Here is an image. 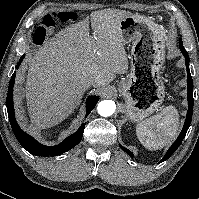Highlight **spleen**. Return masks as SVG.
I'll return each mask as SVG.
<instances>
[{
    "label": "spleen",
    "mask_w": 199,
    "mask_h": 199,
    "mask_svg": "<svg viewBox=\"0 0 199 199\" xmlns=\"http://www.w3.org/2000/svg\"><path fill=\"white\" fill-rule=\"evenodd\" d=\"M178 128V111L173 106H167L159 114L137 124L136 133L145 148L158 150L175 139Z\"/></svg>",
    "instance_id": "3e777b00"
}]
</instances>
